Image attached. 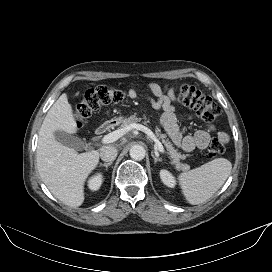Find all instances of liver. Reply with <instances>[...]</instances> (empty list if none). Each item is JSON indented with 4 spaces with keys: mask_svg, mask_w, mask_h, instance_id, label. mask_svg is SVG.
<instances>
[{
    "mask_svg": "<svg viewBox=\"0 0 272 272\" xmlns=\"http://www.w3.org/2000/svg\"><path fill=\"white\" fill-rule=\"evenodd\" d=\"M77 132L73 109L67 94H62L49 109L39 131L36 152L37 168L42 181L62 203L72 208L84 202V184L99 162V151L78 153L59 143L54 133Z\"/></svg>",
    "mask_w": 272,
    "mask_h": 272,
    "instance_id": "1",
    "label": "liver"
}]
</instances>
